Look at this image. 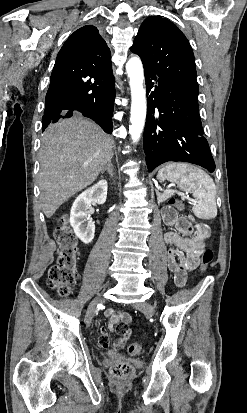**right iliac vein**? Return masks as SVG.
I'll return each mask as SVG.
<instances>
[{
    "label": "right iliac vein",
    "instance_id": "63e3f726",
    "mask_svg": "<svg viewBox=\"0 0 247 413\" xmlns=\"http://www.w3.org/2000/svg\"><path fill=\"white\" fill-rule=\"evenodd\" d=\"M105 301V298L103 295H98L89 305V308L87 310L86 316H85V323L87 325H90L92 318L94 316L95 309L97 305L100 303H103Z\"/></svg>",
    "mask_w": 247,
    "mask_h": 413
}]
</instances>
